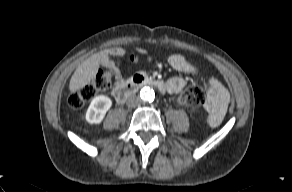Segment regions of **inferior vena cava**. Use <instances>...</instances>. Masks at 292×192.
Returning a JSON list of instances; mask_svg holds the SVG:
<instances>
[{
	"mask_svg": "<svg viewBox=\"0 0 292 192\" xmlns=\"http://www.w3.org/2000/svg\"><path fill=\"white\" fill-rule=\"evenodd\" d=\"M142 104V100L140 97L131 96L127 100V105L130 107H138Z\"/></svg>",
	"mask_w": 292,
	"mask_h": 192,
	"instance_id": "602c4592",
	"label": "inferior vena cava"
}]
</instances>
